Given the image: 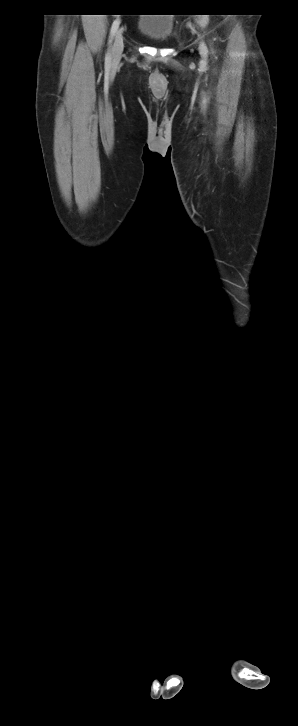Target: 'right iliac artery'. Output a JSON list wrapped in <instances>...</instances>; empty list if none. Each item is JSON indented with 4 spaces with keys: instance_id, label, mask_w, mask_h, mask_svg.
<instances>
[{
    "instance_id": "right-iliac-artery-1",
    "label": "right iliac artery",
    "mask_w": 298,
    "mask_h": 726,
    "mask_svg": "<svg viewBox=\"0 0 298 726\" xmlns=\"http://www.w3.org/2000/svg\"><path fill=\"white\" fill-rule=\"evenodd\" d=\"M119 24H120V19H116V20H115V21L113 22V24H112V27H111V31H110V39H109V43H111V42H112V40H113V37H114V35H115V33H116V31H117L118 27H119ZM110 62H111V51H110V48H109V50L107 51L106 57H105V63H106L107 65H109V64H110Z\"/></svg>"
}]
</instances>
